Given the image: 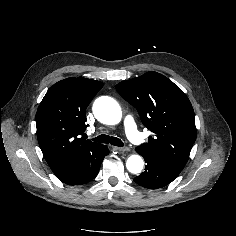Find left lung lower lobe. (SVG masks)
I'll use <instances>...</instances> for the list:
<instances>
[{
  "mask_svg": "<svg viewBox=\"0 0 236 236\" xmlns=\"http://www.w3.org/2000/svg\"><path fill=\"white\" fill-rule=\"evenodd\" d=\"M137 153L144 157L147 166L145 171L134 178V181L148 189H159L171 183L182 170L168 164L154 153L136 148Z\"/></svg>",
  "mask_w": 236,
  "mask_h": 236,
  "instance_id": "left-lung-lower-lobe-1",
  "label": "left lung lower lobe"
}]
</instances>
